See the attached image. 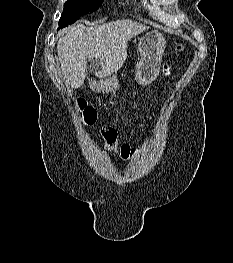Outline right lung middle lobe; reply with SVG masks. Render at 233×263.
Masks as SVG:
<instances>
[{
    "instance_id": "right-lung-middle-lobe-1",
    "label": "right lung middle lobe",
    "mask_w": 233,
    "mask_h": 263,
    "mask_svg": "<svg viewBox=\"0 0 233 263\" xmlns=\"http://www.w3.org/2000/svg\"><path fill=\"white\" fill-rule=\"evenodd\" d=\"M104 0H68L59 20V28L68 26L80 18V16L97 10Z\"/></svg>"
}]
</instances>
